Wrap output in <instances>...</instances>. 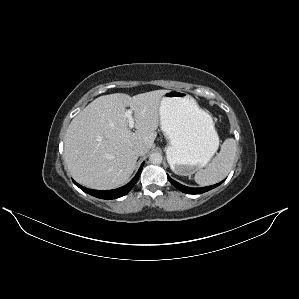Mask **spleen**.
<instances>
[{
    "label": "spleen",
    "mask_w": 299,
    "mask_h": 299,
    "mask_svg": "<svg viewBox=\"0 0 299 299\" xmlns=\"http://www.w3.org/2000/svg\"><path fill=\"white\" fill-rule=\"evenodd\" d=\"M236 150V141L233 138L226 139L208 167L195 174V182L200 186H209L224 179L233 167Z\"/></svg>",
    "instance_id": "3e777b00"
}]
</instances>
